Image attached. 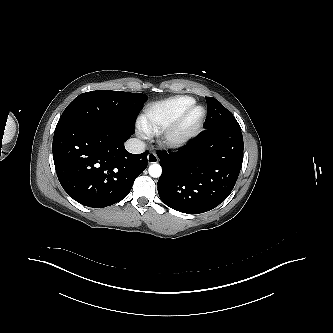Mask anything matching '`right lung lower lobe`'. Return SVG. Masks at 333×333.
<instances>
[{
    "label": "right lung lower lobe",
    "instance_id": "obj_1",
    "mask_svg": "<svg viewBox=\"0 0 333 333\" xmlns=\"http://www.w3.org/2000/svg\"><path fill=\"white\" fill-rule=\"evenodd\" d=\"M134 130L57 125L52 149L66 193L82 205L102 208L125 198L147 167V152L131 154L124 142Z\"/></svg>",
    "mask_w": 333,
    "mask_h": 333
}]
</instances>
